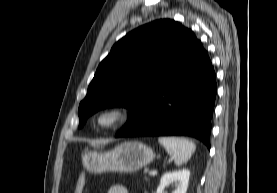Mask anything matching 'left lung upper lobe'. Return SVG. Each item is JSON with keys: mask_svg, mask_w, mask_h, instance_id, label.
I'll use <instances>...</instances> for the list:
<instances>
[{"mask_svg": "<svg viewBox=\"0 0 277 193\" xmlns=\"http://www.w3.org/2000/svg\"><path fill=\"white\" fill-rule=\"evenodd\" d=\"M197 41L191 30L170 19L128 33L98 66L79 105V128L91 114L106 107L128 108L131 120L187 60Z\"/></svg>", "mask_w": 277, "mask_h": 193, "instance_id": "left-lung-upper-lobe-1", "label": "left lung upper lobe"}]
</instances>
